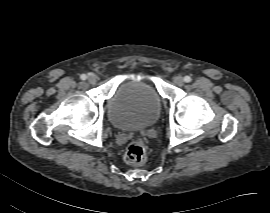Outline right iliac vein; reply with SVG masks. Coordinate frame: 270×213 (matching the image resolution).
Instances as JSON below:
<instances>
[{
	"label": "right iliac vein",
	"instance_id": "63e3f726",
	"mask_svg": "<svg viewBox=\"0 0 270 213\" xmlns=\"http://www.w3.org/2000/svg\"><path fill=\"white\" fill-rule=\"evenodd\" d=\"M88 82L90 83V84H96V82H97V78H96V76H94V75H90L89 77H88Z\"/></svg>",
	"mask_w": 270,
	"mask_h": 213
}]
</instances>
